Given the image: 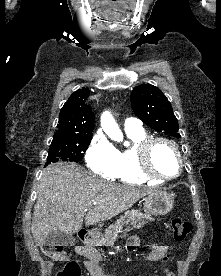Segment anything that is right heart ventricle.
Here are the masks:
<instances>
[{
    "mask_svg": "<svg viewBox=\"0 0 221 276\" xmlns=\"http://www.w3.org/2000/svg\"><path fill=\"white\" fill-rule=\"evenodd\" d=\"M132 145L118 151V165L115 177L119 181L127 184H149L156 181L146 178L140 171L137 159V145L148 137L143 130H126Z\"/></svg>",
    "mask_w": 221,
    "mask_h": 276,
    "instance_id": "right-heart-ventricle-1",
    "label": "right heart ventricle"
}]
</instances>
